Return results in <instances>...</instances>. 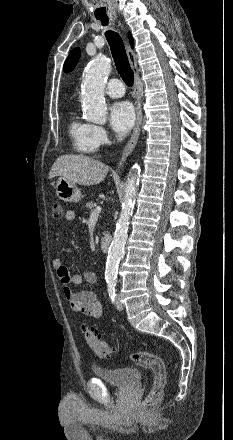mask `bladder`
Returning a JSON list of instances; mask_svg holds the SVG:
<instances>
[{
  "label": "bladder",
  "mask_w": 233,
  "mask_h": 440,
  "mask_svg": "<svg viewBox=\"0 0 233 440\" xmlns=\"http://www.w3.org/2000/svg\"><path fill=\"white\" fill-rule=\"evenodd\" d=\"M92 372L96 378L118 388L134 387L141 379L140 370L133 367L104 369L94 366Z\"/></svg>",
  "instance_id": "1"
}]
</instances>
